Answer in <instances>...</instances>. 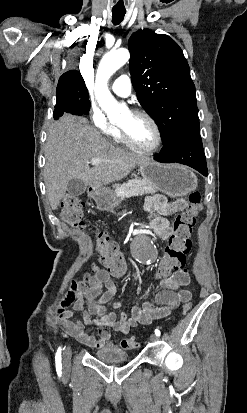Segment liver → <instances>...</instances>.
Instances as JSON below:
<instances>
[{"label":"liver","instance_id":"1","mask_svg":"<svg viewBox=\"0 0 247 413\" xmlns=\"http://www.w3.org/2000/svg\"><path fill=\"white\" fill-rule=\"evenodd\" d=\"M45 158L46 192L55 211L72 178H81L88 186L100 188L125 178L147 156L113 146L87 118L63 114L48 130ZM90 158H101V162L90 166Z\"/></svg>","mask_w":247,"mask_h":413}]
</instances>
